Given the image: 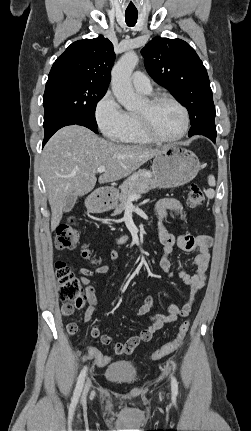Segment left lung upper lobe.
Instances as JSON below:
<instances>
[{"label":"left lung upper lobe","instance_id":"5c2ea615","mask_svg":"<svg viewBox=\"0 0 251 431\" xmlns=\"http://www.w3.org/2000/svg\"><path fill=\"white\" fill-rule=\"evenodd\" d=\"M147 72L168 89L190 115L189 136L203 131L216 139L215 106L206 68L195 50L181 39L155 37L141 50Z\"/></svg>","mask_w":251,"mask_h":431}]
</instances>
